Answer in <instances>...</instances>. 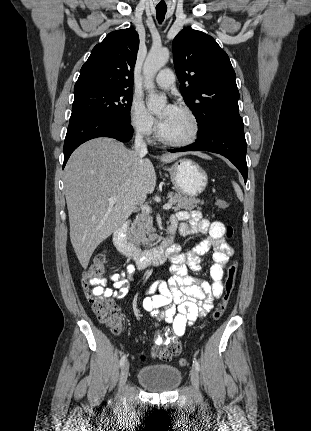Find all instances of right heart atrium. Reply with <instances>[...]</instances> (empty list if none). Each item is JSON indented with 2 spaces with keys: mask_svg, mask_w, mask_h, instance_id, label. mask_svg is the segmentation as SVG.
<instances>
[{
  "mask_svg": "<svg viewBox=\"0 0 311 431\" xmlns=\"http://www.w3.org/2000/svg\"><path fill=\"white\" fill-rule=\"evenodd\" d=\"M128 125L138 137L151 140L157 130V123L153 115L147 110L143 102L133 97L127 113Z\"/></svg>",
  "mask_w": 311,
  "mask_h": 431,
  "instance_id": "1",
  "label": "right heart atrium"
}]
</instances>
